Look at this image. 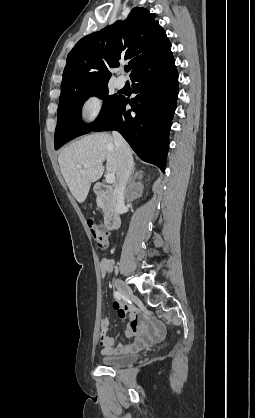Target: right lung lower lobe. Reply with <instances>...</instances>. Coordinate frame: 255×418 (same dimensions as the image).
I'll return each instance as SVG.
<instances>
[{"instance_id":"1","label":"right lung lower lobe","mask_w":255,"mask_h":418,"mask_svg":"<svg viewBox=\"0 0 255 418\" xmlns=\"http://www.w3.org/2000/svg\"><path fill=\"white\" fill-rule=\"evenodd\" d=\"M131 100L120 96L111 114L92 131L117 130L144 161L163 172L169 146V130L179 91L175 59L170 56L131 78ZM131 109L127 110L126 105Z\"/></svg>"}]
</instances>
